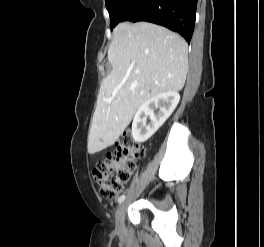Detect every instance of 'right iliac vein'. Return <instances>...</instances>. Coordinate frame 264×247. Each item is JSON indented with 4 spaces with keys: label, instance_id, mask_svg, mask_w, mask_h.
Wrapping results in <instances>:
<instances>
[{
    "label": "right iliac vein",
    "instance_id": "obj_1",
    "mask_svg": "<svg viewBox=\"0 0 264 247\" xmlns=\"http://www.w3.org/2000/svg\"><path fill=\"white\" fill-rule=\"evenodd\" d=\"M125 203L119 205L115 214L116 229L118 232L124 231Z\"/></svg>",
    "mask_w": 264,
    "mask_h": 247
}]
</instances>
